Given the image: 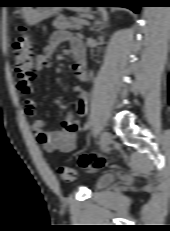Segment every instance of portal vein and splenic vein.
<instances>
[{
	"label": "portal vein and splenic vein",
	"instance_id": "obj_1",
	"mask_svg": "<svg viewBox=\"0 0 170 231\" xmlns=\"http://www.w3.org/2000/svg\"><path fill=\"white\" fill-rule=\"evenodd\" d=\"M74 21L81 24V25H88L89 24L87 21L80 20V19H74Z\"/></svg>",
	"mask_w": 170,
	"mask_h": 231
}]
</instances>
